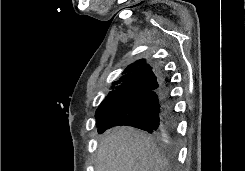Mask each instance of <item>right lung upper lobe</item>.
I'll use <instances>...</instances> for the list:
<instances>
[{
  "label": "right lung upper lobe",
  "instance_id": "right-lung-upper-lobe-1",
  "mask_svg": "<svg viewBox=\"0 0 245 171\" xmlns=\"http://www.w3.org/2000/svg\"><path fill=\"white\" fill-rule=\"evenodd\" d=\"M163 84L162 77L155 75L152 67L144 59L128 66L120 80L113 82L112 91L102 103L121 102L141 94L158 90Z\"/></svg>",
  "mask_w": 245,
  "mask_h": 171
}]
</instances>
